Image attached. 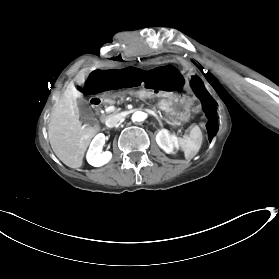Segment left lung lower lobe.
<instances>
[{"mask_svg": "<svg viewBox=\"0 0 279 279\" xmlns=\"http://www.w3.org/2000/svg\"><path fill=\"white\" fill-rule=\"evenodd\" d=\"M191 87L193 88L196 95L202 100L203 103V109L206 113V116L208 118V122L206 124V128L208 131V137L211 141L214 134L216 133L218 127V119L216 115V104L209 99L205 91L202 89V86L199 82V80L196 77H193V80L191 81Z\"/></svg>", "mask_w": 279, "mask_h": 279, "instance_id": "left-lung-lower-lobe-1", "label": "left lung lower lobe"}]
</instances>
